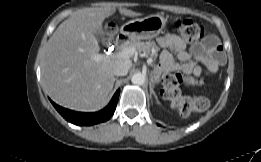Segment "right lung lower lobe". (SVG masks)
Wrapping results in <instances>:
<instances>
[{
	"mask_svg": "<svg viewBox=\"0 0 261 162\" xmlns=\"http://www.w3.org/2000/svg\"><path fill=\"white\" fill-rule=\"evenodd\" d=\"M120 90H117L111 99L108 106H106L103 110L95 113H83V112H75L72 110H68L62 108L61 106L55 104L53 101L51 103L56 108V110L69 122L75 125H94L97 123L105 122L111 118L113 115L117 101L119 98Z\"/></svg>",
	"mask_w": 261,
	"mask_h": 162,
	"instance_id": "right-lung-lower-lobe-1",
	"label": "right lung lower lobe"
}]
</instances>
